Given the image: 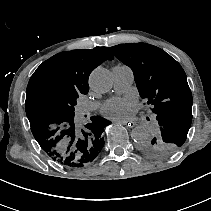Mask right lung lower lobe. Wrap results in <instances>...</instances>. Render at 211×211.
Wrapping results in <instances>:
<instances>
[{"mask_svg": "<svg viewBox=\"0 0 211 211\" xmlns=\"http://www.w3.org/2000/svg\"><path fill=\"white\" fill-rule=\"evenodd\" d=\"M93 119L97 121L99 124H103L104 125L103 128L111 123L110 121L99 116L92 117L91 123H88L86 125L85 130L81 131V137L77 136V129L75 128L74 123H70L69 127L64 129L61 135L69 137L70 143L74 145L75 150L80 154V156L78 161L75 163L70 160L75 158L74 152H71V154L62 163L60 160H58L60 164H64L71 167H80L84 166V164L86 163L92 162L99 155L100 151L104 146V138L102 137V133L99 134L97 130H91L87 128V126L93 125ZM39 129L40 127L36 126V122L31 123L32 133L37 142L39 143V145L41 146V148L43 150L50 148L49 143L45 141L46 133L39 131ZM49 154L50 155L53 154L51 148L49 149ZM53 158H55V156H53Z\"/></svg>", "mask_w": 211, "mask_h": 211, "instance_id": "1", "label": "right lung lower lobe"}]
</instances>
